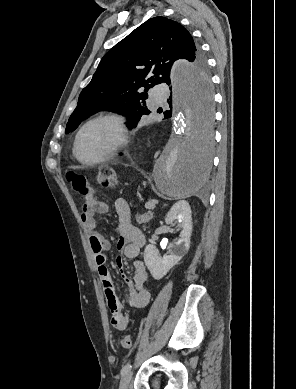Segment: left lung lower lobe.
I'll return each instance as SVG.
<instances>
[{
    "label": "left lung lower lobe",
    "mask_w": 296,
    "mask_h": 389,
    "mask_svg": "<svg viewBox=\"0 0 296 389\" xmlns=\"http://www.w3.org/2000/svg\"><path fill=\"white\" fill-rule=\"evenodd\" d=\"M167 85L171 86V82L167 83ZM198 85V83H195L193 86L194 95L201 101L203 109L206 111V113L211 114L212 99L210 96V89H202ZM174 100H177V92L175 87ZM167 101L171 109L164 112V117L166 119L172 117V92ZM210 146L211 143L207 135V131L204 130L200 134L197 133L189 143V146L185 152H183L180 156V174L182 176L191 177L195 180L201 179L205 175L210 164Z\"/></svg>",
    "instance_id": "left-lung-lower-lobe-1"
}]
</instances>
